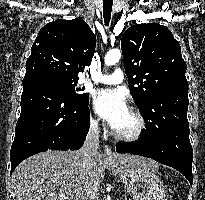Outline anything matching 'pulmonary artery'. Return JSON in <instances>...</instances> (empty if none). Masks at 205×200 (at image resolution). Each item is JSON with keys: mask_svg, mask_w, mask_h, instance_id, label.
I'll return each instance as SVG.
<instances>
[{"mask_svg": "<svg viewBox=\"0 0 205 200\" xmlns=\"http://www.w3.org/2000/svg\"><path fill=\"white\" fill-rule=\"evenodd\" d=\"M89 80L96 83L115 85L124 80V73L121 69H116L111 75L97 74Z\"/></svg>", "mask_w": 205, "mask_h": 200, "instance_id": "pulmonary-artery-1", "label": "pulmonary artery"}]
</instances>
